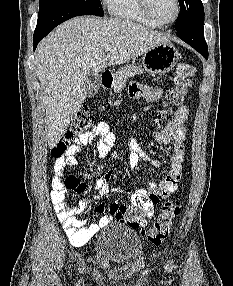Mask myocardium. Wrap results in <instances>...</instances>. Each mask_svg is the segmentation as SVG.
Masks as SVG:
<instances>
[{
    "label": "myocardium",
    "instance_id": "myocardium-1",
    "mask_svg": "<svg viewBox=\"0 0 233 286\" xmlns=\"http://www.w3.org/2000/svg\"><path fill=\"white\" fill-rule=\"evenodd\" d=\"M139 2H140L141 9H142L143 13L145 14V16L149 19V21L154 26H157V27H165V26L172 25L174 22L177 21V19L180 16V13H181L180 1L175 0L176 13H175L174 17L168 22H158L153 18L152 14H151L149 0H139Z\"/></svg>",
    "mask_w": 233,
    "mask_h": 286
}]
</instances>
